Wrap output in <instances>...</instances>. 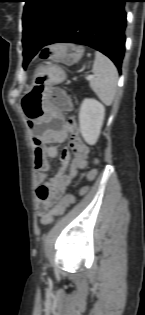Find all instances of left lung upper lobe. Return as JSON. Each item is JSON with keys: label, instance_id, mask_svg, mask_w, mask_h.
Returning <instances> with one entry per match:
<instances>
[{"label": "left lung upper lobe", "instance_id": "5c2ea615", "mask_svg": "<svg viewBox=\"0 0 145 315\" xmlns=\"http://www.w3.org/2000/svg\"><path fill=\"white\" fill-rule=\"evenodd\" d=\"M23 35L31 34L44 42L55 32L74 0H25ZM29 61L23 63L26 68Z\"/></svg>", "mask_w": 145, "mask_h": 315}]
</instances>
